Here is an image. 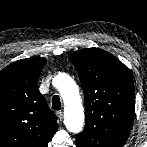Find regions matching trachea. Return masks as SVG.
<instances>
[{"label": "trachea", "instance_id": "trachea-1", "mask_svg": "<svg viewBox=\"0 0 147 147\" xmlns=\"http://www.w3.org/2000/svg\"><path fill=\"white\" fill-rule=\"evenodd\" d=\"M52 109L60 110L61 109V102L58 95L53 96L52 98Z\"/></svg>", "mask_w": 147, "mask_h": 147}]
</instances>
